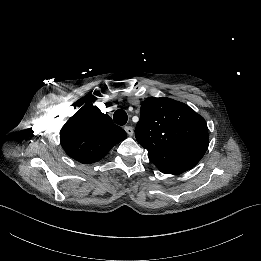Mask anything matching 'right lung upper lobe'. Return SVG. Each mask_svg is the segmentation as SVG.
I'll return each instance as SVG.
<instances>
[{
  "label": "right lung upper lobe",
  "mask_w": 261,
  "mask_h": 261,
  "mask_svg": "<svg viewBox=\"0 0 261 261\" xmlns=\"http://www.w3.org/2000/svg\"><path fill=\"white\" fill-rule=\"evenodd\" d=\"M126 132L116 126L107 114L86 103L60 131L61 145L73 159L90 164L99 161Z\"/></svg>",
  "instance_id": "right-lung-upper-lobe-1"
}]
</instances>
